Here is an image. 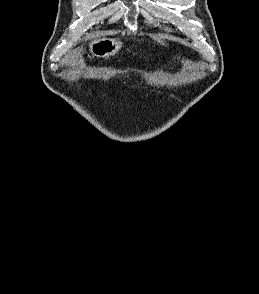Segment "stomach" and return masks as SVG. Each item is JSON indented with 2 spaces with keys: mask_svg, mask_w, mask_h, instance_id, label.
<instances>
[{
  "mask_svg": "<svg viewBox=\"0 0 259 294\" xmlns=\"http://www.w3.org/2000/svg\"><path fill=\"white\" fill-rule=\"evenodd\" d=\"M119 40L102 37L89 42V50L96 57H109L115 55L122 47Z\"/></svg>",
  "mask_w": 259,
  "mask_h": 294,
  "instance_id": "0dacf381",
  "label": "stomach"
}]
</instances>
